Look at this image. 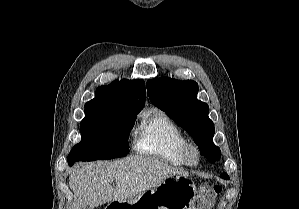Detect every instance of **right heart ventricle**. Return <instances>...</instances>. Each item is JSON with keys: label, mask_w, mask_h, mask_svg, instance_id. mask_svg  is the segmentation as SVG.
I'll return each mask as SVG.
<instances>
[{"label": "right heart ventricle", "mask_w": 299, "mask_h": 209, "mask_svg": "<svg viewBox=\"0 0 299 209\" xmlns=\"http://www.w3.org/2000/svg\"><path fill=\"white\" fill-rule=\"evenodd\" d=\"M188 140L165 113L154 111L144 117L137 129L135 150L175 166H185L184 149Z\"/></svg>", "instance_id": "1"}]
</instances>
